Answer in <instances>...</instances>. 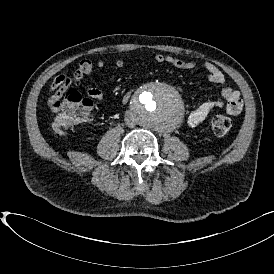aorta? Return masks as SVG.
I'll use <instances>...</instances> for the list:
<instances>
[{"mask_svg":"<svg viewBox=\"0 0 274 274\" xmlns=\"http://www.w3.org/2000/svg\"><path fill=\"white\" fill-rule=\"evenodd\" d=\"M137 122L156 131H169L181 121L184 106L178 91L166 83L147 84L132 101Z\"/></svg>","mask_w":274,"mask_h":274,"instance_id":"1","label":"aorta"}]
</instances>
